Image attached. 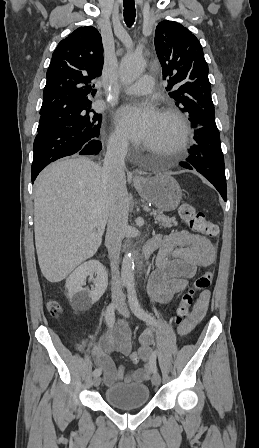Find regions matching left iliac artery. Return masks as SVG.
<instances>
[{
	"label": "left iliac artery",
	"instance_id": "obj_1",
	"mask_svg": "<svg viewBox=\"0 0 259 448\" xmlns=\"http://www.w3.org/2000/svg\"><path fill=\"white\" fill-rule=\"evenodd\" d=\"M127 292H128V302H129V306H130V309L132 310V312L138 318L145 321L146 323L153 325L155 327H159L158 321L154 317H152L150 314L146 313L143 310V308L141 307V305L138 301L136 290H135L133 283L127 284ZM156 357H157V351L155 350L152 353V358L155 361V363H156ZM154 372H156V368H155Z\"/></svg>",
	"mask_w": 259,
	"mask_h": 448
}]
</instances>
